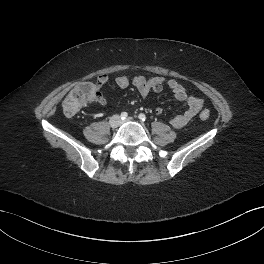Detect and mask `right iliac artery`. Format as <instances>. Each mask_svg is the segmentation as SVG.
Returning a JSON list of instances; mask_svg holds the SVG:
<instances>
[{"label": "right iliac artery", "mask_w": 264, "mask_h": 264, "mask_svg": "<svg viewBox=\"0 0 264 264\" xmlns=\"http://www.w3.org/2000/svg\"><path fill=\"white\" fill-rule=\"evenodd\" d=\"M127 116H128V113L127 112H122L121 115H120V117H121L122 120L126 119Z\"/></svg>", "instance_id": "1"}]
</instances>
